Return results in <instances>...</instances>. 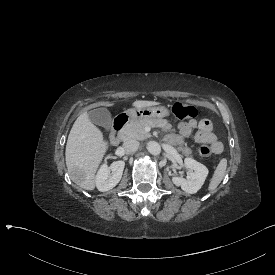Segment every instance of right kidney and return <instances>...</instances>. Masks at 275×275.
Returning <instances> with one entry per match:
<instances>
[{"mask_svg":"<svg viewBox=\"0 0 275 275\" xmlns=\"http://www.w3.org/2000/svg\"><path fill=\"white\" fill-rule=\"evenodd\" d=\"M124 161L113 162L110 167L104 165L97 176V187L101 192L112 190L122 179Z\"/></svg>","mask_w":275,"mask_h":275,"instance_id":"1","label":"right kidney"}]
</instances>
